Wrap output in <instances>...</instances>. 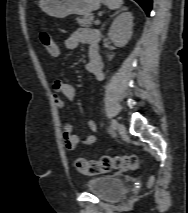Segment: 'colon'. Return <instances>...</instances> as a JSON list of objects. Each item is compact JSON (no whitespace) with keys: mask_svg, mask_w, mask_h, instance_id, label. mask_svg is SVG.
Here are the masks:
<instances>
[{"mask_svg":"<svg viewBox=\"0 0 188 213\" xmlns=\"http://www.w3.org/2000/svg\"><path fill=\"white\" fill-rule=\"evenodd\" d=\"M39 39L49 55L53 57L59 55V50L47 31L42 30L39 33ZM139 166L140 159L136 155L102 156L96 160L77 159L75 161L76 169L85 175H98L116 170H134Z\"/></svg>","mask_w":188,"mask_h":213,"instance_id":"5ec220e1","label":"colon"}]
</instances>
